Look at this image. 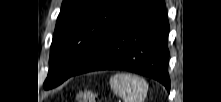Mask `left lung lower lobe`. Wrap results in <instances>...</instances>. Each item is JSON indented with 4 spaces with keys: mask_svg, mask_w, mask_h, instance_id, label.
<instances>
[{
    "mask_svg": "<svg viewBox=\"0 0 221 102\" xmlns=\"http://www.w3.org/2000/svg\"><path fill=\"white\" fill-rule=\"evenodd\" d=\"M169 30L163 0H135L72 76L127 70L159 81L169 92Z\"/></svg>",
    "mask_w": 221,
    "mask_h": 102,
    "instance_id": "0a47b994",
    "label": "left lung lower lobe"
}]
</instances>
